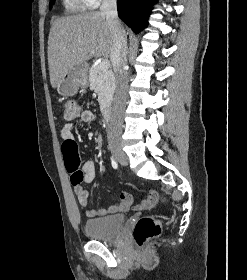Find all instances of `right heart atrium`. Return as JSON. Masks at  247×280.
Instances as JSON below:
<instances>
[{"mask_svg":"<svg viewBox=\"0 0 247 280\" xmlns=\"http://www.w3.org/2000/svg\"><path fill=\"white\" fill-rule=\"evenodd\" d=\"M87 6L95 7L98 6L103 0H84Z\"/></svg>","mask_w":247,"mask_h":280,"instance_id":"1","label":"right heart atrium"}]
</instances>
